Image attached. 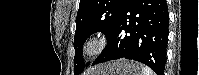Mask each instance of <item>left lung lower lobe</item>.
I'll use <instances>...</instances> for the list:
<instances>
[{"instance_id":"left-lung-lower-lobe-1","label":"left lung lower lobe","mask_w":199,"mask_h":75,"mask_svg":"<svg viewBox=\"0 0 199 75\" xmlns=\"http://www.w3.org/2000/svg\"><path fill=\"white\" fill-rule=\"evenodd\" d=\"M169 12L165 0H128L108 43L92 65L131 59L164 75Z\"/></svg>"}]
</instances>
